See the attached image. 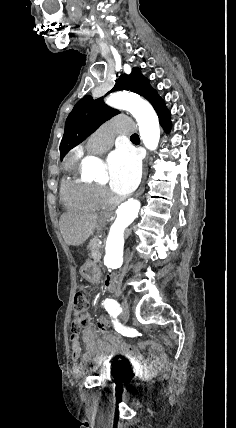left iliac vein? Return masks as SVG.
I'll use <instances>...</instances> for the list:
<instances>
[{"label":"left iliac vein","mask_w":236,"mask_h":428,"mask_svg":"<svg viewBox=\"0 0 236 428\" xmlns=\"http://www.w3.org/2000/svg\"><path fill=\"white\" fill-rule=\"evenodd\" d=\"M120 307H121V311H122V316L124 317L123 322L127 323L128 322L127 318H129V316H130L129 314L131 313V310L129 308V304L126 301H123L120 304Z\"/></svg>","instance_id":"1"}]
</instances>
